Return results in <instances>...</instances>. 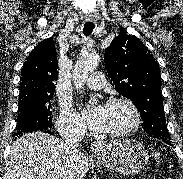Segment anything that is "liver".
Segmentation results:
<instances>
[{
	"label": "liver",
	"instance_id": "6515ba94",
	"mask_svg": "<svg viewBox=\"0 0 183 179\" xmlns=\"http://www.w3.org/2000/svg\"><path fill=\"white\" fill-rule=\"evenodd\" d=\"M88 158L79 153L75 168L63 141L44 132L17 139L6 160L3 179H76L86 175Z\"/></svg>",
	"mask_w": 183,
	"mask_h": 179
}]
</instances>
